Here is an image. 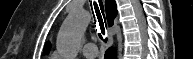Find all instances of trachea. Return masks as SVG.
<instances>
[{
	"label": "trachea",
	"mask_w": 193,
	"mask_h": 59,
	"mask_svg": "<svg viewBox=\"0 0 193 59\" xmlns=\"http://www.w3.org/2000/svg\"><path fill=\"white\" fill-rule=\"evenodd\" d=\"M99 7H100V9H99ZM94 10H95V13H96V16H97V19H98V23H99V27H100V32L98 33L99 38L101 40L106 41L107 40V38L105 36V34H106V32H105L106 21H105L104 6H103L102 1L99 2V6H98V4L94 5ZM92 13L94 15L93 9H92ZM102 16H103V18H102ZM103 19H104V22H105V27H104Z\"/></svg>",
	"instance_id": "1"
}]
</instances>
